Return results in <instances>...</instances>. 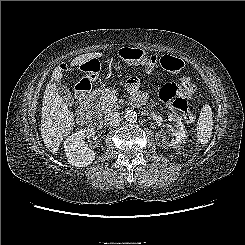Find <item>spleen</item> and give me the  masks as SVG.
Wrapping results in <instances>:
<instances>
[{"label": "spleen", "instance_id": "spleen-1", "mask_svg": "<svg viewBox=\"0 0 245 245\" xmlns=\"http://www.w3.org/2000/svg\"><path fill=\"white\" fill-rule=\"evenodd\" d=\"M212 108L209 104H204L201 108V113L197 122L196 136L197 142L201 145L208 144L213 129Z\"/></svg>", "mask_w": 245, "mask_h": 245}]
</instances>
